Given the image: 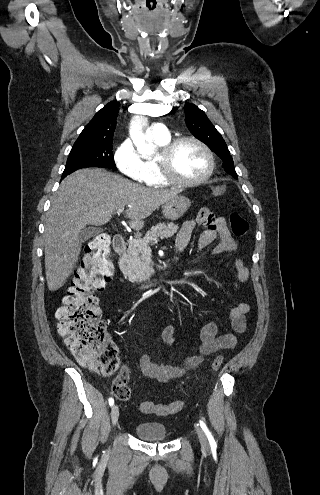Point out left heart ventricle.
Masks as SVG:
<instances>
[{
	"mask_svg": "<svg viewBox=\"0 0 320 495\" xmlns=\"http://www.w3.org/2000/svg\"><path fill=\"white\" fill-rule=\"evenodd\" d=\"M172 167L179 177L196 179L206 173L208 160L196 144L185 142L176 148L172 158Z\"/></svg>",
	"mask_w": 320,
	"mask_h": 495,
	"instance_id": "left-heart-ventricle-1",
	"label": "left heart ventricle"
}]
</instances>
